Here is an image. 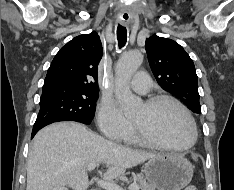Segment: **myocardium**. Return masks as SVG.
Wrapping results in <instances>:
<instances>
[{
	"mask_svg": "<svg viewBox=\"0 0 234 190\" xmlns=\"http://www.w3.org/2000/svg\"><path fill=\"white\" fill-rule=\"evenodd\" d=\"M162 102H170L176 105L183 112V114L186 116L191 126V130H192L191 140L185 145H169V144L161 143L157 141L156 139H154L148 133V131L146 130L143 124H141L140 122L136 120H133V125H134L138 138L141 140L142 143L146 145L156 147V148L166 149V150L185 151V150L192 148L195 145L197 138H198V130H197L196 122L192 114L182 102H180L175 97L167 95V94H159V95L150 97L144 102V105L146 106L147 109L152 110Z\"/></svg>",
	"mask_w": 234,
	"mask_h": 190,
	"instance_id": "f54148a6",
	"label": "myocardium"
}]
</instances>
